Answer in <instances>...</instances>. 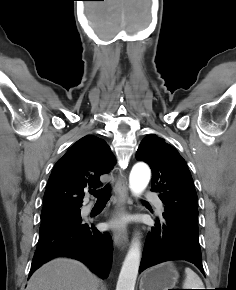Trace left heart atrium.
Segmentation results:
<instances>
[{
	"mask_svg": "<svg viewBox=\"0 0 236 290\" xmlns=\"http://www.w3.org/2000/svg\"><path fill=\"white\" fill-rule=\"evenodd\" d=\"M124 224H125V219H123V218H117L112 222V225L114 227H118V228L123 227Z\"/></svg>",
	"mask_w": 236,
	"mask_h": 290,
	"instance_id": "left-heart-atrium-1",
	"label": "left heart atrium"
}]
</instances>
